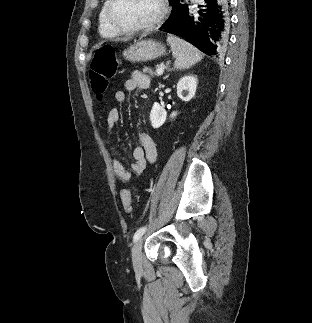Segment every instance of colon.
Instances as JSON below:
<instances>
[{
  "label": "colon",
  "instance_id": "1",
  "mask_svg": "<svg viewBox=\"0 0 312 323\" xmlns=\"http://www.w3.org/2000/svg\"><path fill=\"white\" fill-rule=\"evenodd\" d=\"M117 69L118 62L113 46L105 45L100 47L92 59L89 73L92 91L97 94L104 93L109 81L116 76ZM121 198L124 207L130 210L133 202L130 189H123ZM127 215H130V212H127Z\"/></svg>",
  "mask_w": 312,
  "mask_h": 323
}]
</instances>
